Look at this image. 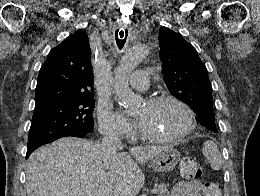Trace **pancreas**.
I'll list each match as a JSON object with an SVG mask.
<instances>
[{"label":"pancreas","instance_id":"1","mask_svg":"<svg viewBox=\"0 0 260 196\" xmlns=\"http://www.w3.org/2000/svg\"><path fill=\"white\" fill-rule=\"evenodd\" d=\"M169 184H159V186H155L153 192L156 196H167Z\"/></svg>","mask_w":260,"mask_h":196}]
</instances>
